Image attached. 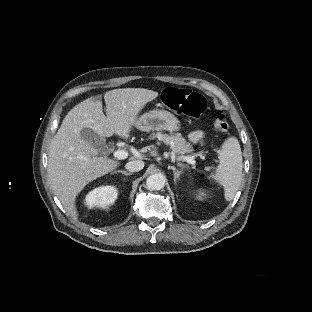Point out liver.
<instances>
[{
  "label": "liver",
  "instance_id": "1",
  "mask_svg": "<svg viewBox=\"0 0 312 312\" xmlns=\"http://www.w3.org/2000/svg\"><path fill=\"white\" fill-rule=\"evenodd\" d=\"M158 95L145 88L113 89L103 93L107 117L102 101L93 96L65 116L49 147L47 171L54 194L74 219H79V194L121 165L117 160L97 157L98 151L82 138L81 131L88 128L101 137L131 135L140 112Z\"/></svg>",
  "mask_w": 312,
  "mask_h": 312
}]
</instances>
